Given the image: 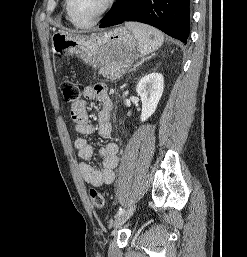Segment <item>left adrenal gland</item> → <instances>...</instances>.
<instances>
[{"label":"left adrenal gland","instance_id":"a2214340","mask_svg":"<svg viewBox=\"0 0 247 257\" xmlns=\"http://www.w3.org/2000/svg\"><path fill=\"white\" fill-rule=\"evenodd\" d=\"M147 59H149V57L142 59L140 62H138V63L134 66V68H133L132 70H135L136 67H138L139 65H141V64H142L145 60H147Z\"/></svg>","mask_w":247,"mask_h":257}]
</instances>
